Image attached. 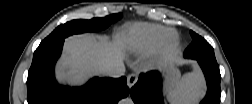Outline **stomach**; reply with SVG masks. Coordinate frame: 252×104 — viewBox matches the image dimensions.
Wrapping results in <instances>:
<instances>
[{
	"label": "stomach",
	"mask_w": 252,
	"mask_h": 104,
	"mask_svg": "<svg viewBox=\"0 0 252 104\" xmlns=\"http://www.w3.org/2000/svg\"><path fill=\"white\" fill-rule=\"evenodd\" d=\"M166 74V89L170 91V94L180 85V72L174 65H168ZM172 89H174L172 91Z\"/></svg>",
	"instance_id": "1"
}]
</instances>
